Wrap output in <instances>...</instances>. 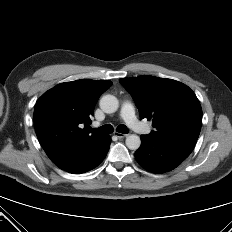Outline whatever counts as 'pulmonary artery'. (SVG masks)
Returning a JSON list of instances; mask_svg holds the SVG:
<instances>
[{
	"label": "pulmonary artery",
	"mask_w": 232,
	"mask_h": 232,
	"mask_svg": "<svg viewBox=\"0 0 232 232\" xmlns=\"http://www.w3.org/2000/svg\"><path fill=\"white\" fill-rule=\"evenodd\" d=\"M121 117L127 123V125L134 131L141 133V134H147L150 132L149 126L141 123L137 119L135 107L131 102H124L122 104Z\"/></svg>",
	"instance_id": "pulmonary-artery-1"
}]
</instances>
